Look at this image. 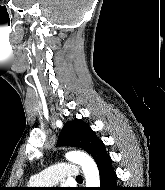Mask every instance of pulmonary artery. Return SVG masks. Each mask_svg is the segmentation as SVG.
Segmentation results:
<instances>
[{"instance_id":"1","label":"pulmonary artery","mask_w":165,"mask_h":190,"mask_svg":"<svg viewBox=\"0 0 165 190\" xmlns=\"http://www.w3.org/2000/svg\"><path fill=\"white\" fill-rule=\"evenodd\" d=\"M80 175V168L76 164L61 162L52 165L33 176L31 182L40 186H51L69 178L75 179Z\"/></svg>"}]
</instances>
